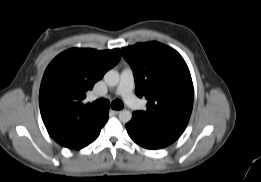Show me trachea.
Masks as SVG:
<instances>
[{"instance_id": "3493384b", "label": "trachea", "mask_w": 261, "mask_h": 182, "mask_svg": "<svg viewBox=\"0 0 261 182\" xmlns=\"http://www.w3.org/2000/svg\"><path fill=\"white\" fill-rule=\"evenodd\" d=\"M92 107L94 108H99V109H107L110 107V102L106 99H99L95 102H93L91 104ZM124 106L123 102L120 101V100H114L112 103H111V107L115 110H120L122 109Z\"/></svg>"}]
</instances>
